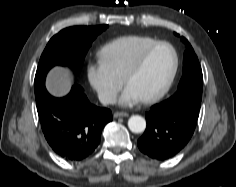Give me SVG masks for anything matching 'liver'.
Here are the masks:
<instances>
[{
    "mask_svg": "<svg viewBox=\"0 0 236 187\" xmlns=\"http://www.w3.org/2000/svg\"><path fill=\"white\" fill-rule=\"evenodd\" d=\"M71 80L69 73L62 67H55L52 69L47 77L46 87L48 91L54 96H64L71 87Z\"/></svg>",
    "mask_w": 236,
    "mask_h": 187,
    "instance_id": "6515ba94",
    "label": "liver"
}]
</instances>
